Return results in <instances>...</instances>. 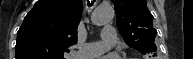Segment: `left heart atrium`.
<instances>
[{
    "label": "left heart atrium",
    "mask_w": 193,
    "mask_h": 59,
    "mask_svg": "<svg viewBox=\"0 0 193 59\" xmlns=\"http://www.w3.org/2000/svg\"><path fill=\"white\" fill-rule=\"evenodd\" d=\"M99 59H119V58L115 55H105L100 57Z\"/></svg>",
    "instance_id": "39dd6f15"
}]
</instances>
